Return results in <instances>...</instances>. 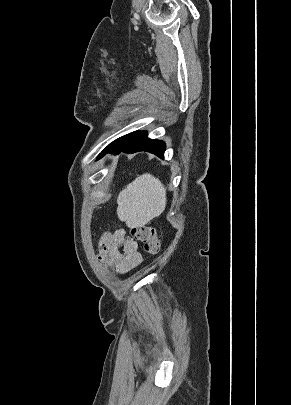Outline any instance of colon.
I'll list each match as a JSON object with an SVG mask.
<instances>
[{
	"label": "colon",
	"instance_id": "5ec220e1",
	"mask_svg": "<svg viewBox=\"0 0 291 405\" xmlns=\"http://www.w3.org/2000/svg\"><path fill=\"white\" fill-rule=\"evenodd\" d=\"M132 237L141 242L143 249L150 255H156L161 248V241L154 227L149 225H139L131 229Z\"/></svg>",
	"mask_w": 291,
	"mask_h": 405
}]
</instances>
